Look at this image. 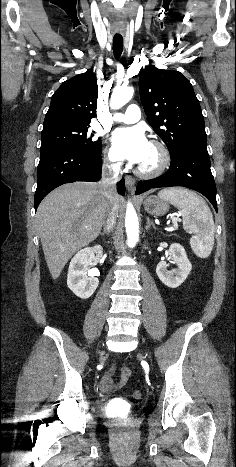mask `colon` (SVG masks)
<instances>
[{"label": "colon", "mask_w": 236, "mask_h": 467, "mask_svg": "<svg viewBox=\"0 0 236 467\" xmlns=\"http://www.w3.org/2000/svg\"><path fill=\"white\" fill-rule=\"evenodd\" d=\"M134 397L136 399H141L143 397V393L141 391L137 390V391L134 392Z\"/></svg>", "instance_id": "obj_1"}]
</instances>
